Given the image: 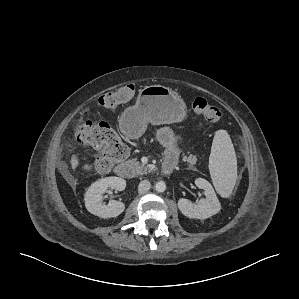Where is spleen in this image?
<instances>
[{"instance_id":"spleen-1","label":"spleen","mask_w":299,"mask_h":299,"mask_svg":"<svg viewBox=\"0 0 299 299\" xmlns=\"http://www.w3.org/2000/svg\"><path fill=\"white\" fill-rule=\"evenodd\" d=\"M209 170L216 190L228 197L237 179V159L233 143L227 131L215 133L209 157Z\"/></svg>"}]
</instances>
